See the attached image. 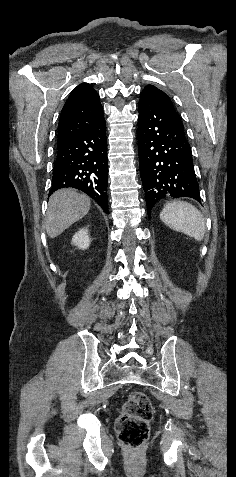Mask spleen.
<instances>
[{"instance_id": "spleen-1", "label": "spleen", "mask_w": 236, "mask_h": 477, "mask_svg": "<svg viewBox=\"0 0 236 477\" xmlns=\"http://www.w3.org/2000/svg\"><path fill=\"white\" fill-rule=\"evenodd\" d=\"M160 219L169 228L183 232L201 241L205 234V220L201 212L192 204L174 201L167 204L160 213Z\"/></svg>"}]
</instances>
